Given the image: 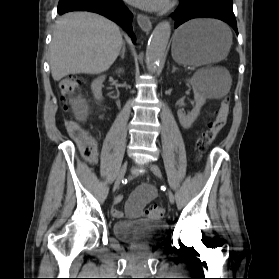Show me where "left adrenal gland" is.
I'll list each match as a JSON object with an SVG mask.
<instances>
[{
    "label": "left adrenal gland",
    "mask_w": 279,
    "mask_h": 279,
    "mask_svg": "<svg viewBox=\"0 0 279 279\" xmlns=\"http://www.w3.org/2000/svg\"><path fill=\"white\" fill-rule=\"evenodd\" d=\"M177 70V68L173 65L172 67V73H174Z\"/></svg>",
    "instance_id": "left-adrenal-gland-1"
}]
</instances>
